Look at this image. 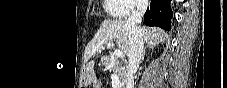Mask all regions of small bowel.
Instances as JSON below:
<instances>
[{"label":"small bowel","mask_w":227,"mask_h":88,"mask_svg":"<svg viewBox=\"0 0 227 88\" xmlns=\"http://www.w3.org/2000/svg\"><path fill=\"white\" fill-rule=\"evenodd\" d=\"M95 87H96V88H102V86H101L99 83H96V84H95Z\"/></svg>","instance_id":"obj_1"}]
</instances>
